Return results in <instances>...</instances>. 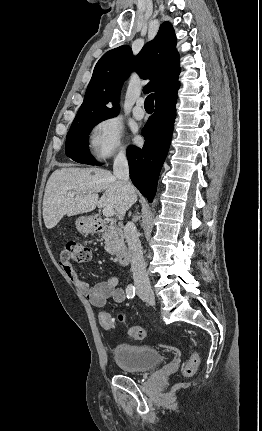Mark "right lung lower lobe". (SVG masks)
<instances>
[{
	"mask_svg": "<svg viewBox=\"0 0 262 431\" xmlns=\"http://www.w3.org/2000/svg\"><path fill=\"white\" fill-rule=\"evenodd\" d=\"M177 91L156 101L155 112L142 130L143 148L129 146L127 158L130 178L137 189L152 202L158 176L166 158L176 115Z\"/></svg>",
	"mask_w": 262,
	"mask_h": 431,
	"instance_id": "right-lung-lower-lobe-1",
	"label": "right lung lower lobe"
}]
</instances>
